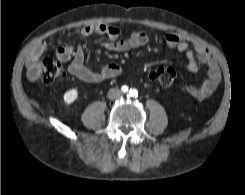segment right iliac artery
Here are the masks:
<instances>
[{"mask_svg": "<svg viewBox=\"0 0 245 195\" xmlns=\"http://www.w3.org/2000/svg\"><path fill=\"white\" fill-rule=\"evenodd\" d=\"M121 90L123 92H128V87L126 85L122 86Z\"/></svg>", "mask_w": 245, "mask_h": 195, "instance_id": "82829eb1", "label": "right iliac artery"}]
</instances>
